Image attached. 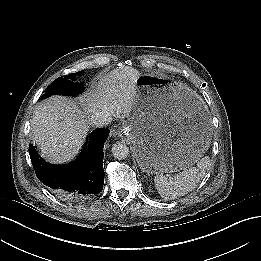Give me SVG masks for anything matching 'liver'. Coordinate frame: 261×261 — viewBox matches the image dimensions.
<instances>
[{"mask_svg": "<svg viewBox=\"0 0 261 261\" xmlns=\"http://www.w3.org/2000/svg\"><path fill=\"white\" fill-rule=\"evenodd\" d=\"M141 73L126 66L100 78L97 90L80 97L85 117L96 111L126 118L134 109L137 82ZM87 120L75 103L66 97L53 96L41 102L31 120L32 140L41 155L51 163L70 161L84 143Z\"/></svg>", "mask_w": 261, "mask_h": 261, "instance_id": "liver-1", "label": "liver"}]
</instances>
